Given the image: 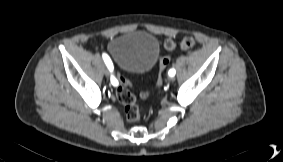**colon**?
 <instances>
[{"label": "colon", "mask_w": 283, "mask_h": 162, "mask_svg": "<svg viewBox=\"0 0 283 162\" xmlns=\"http://www.w3.org/2000/svg\"><path fill=\"white\" fill-rule=\"evenodd\" d=\"M195 45V40L192 37H184L179 44L174 42L172 39L168 38L164 42V48L167 51H173L176 48H180L182 50H189L193 48ZM170 57L168 55H163L159 60V69L160 73H163L167 66L169 65ZM117 86H116V97L118 101L124 106V112L126 119L130 122H137L142 117V109L136 98V96L131 92L130 87L131 83L125 77L118 75L117 76ZM163 79L160 75L157 90L159 91L162 88ZM149 91H143L141 93V97L147 98L150 96Z\"/></svg>", "instance_id": "5ec220e1"}]
</instances>
